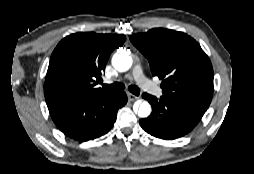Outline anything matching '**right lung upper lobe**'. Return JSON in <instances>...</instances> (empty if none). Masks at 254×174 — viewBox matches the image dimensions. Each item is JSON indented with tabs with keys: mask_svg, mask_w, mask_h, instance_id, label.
I'll list each match as a JSON object with an SVG mask.
<instances>
[{
	"mask_svg": "<svg viewBox=\"0 0 254 174\" xmlns=\"http://www.w3.org/2000/svg\"><path fill=\"white\" fill-rule=\"evenodd\" d=\"M125 35L75 33L54 49L45 79L48 109L75 96L111 95L95 85L102 80L111 52L122 45Z\"/></svg>",
	"mask_w": 254,
	"mask_h": 174,
	"instance_id": "cb5924a9",
	"label": "right lung upper lobe"
}]
</instances>
